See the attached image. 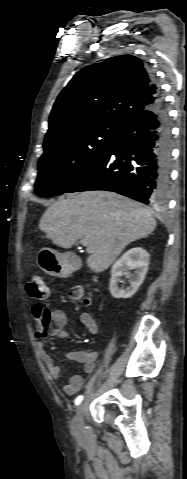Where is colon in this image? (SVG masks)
<instances>
[{"instance_id":"obj_1","label":"colon","mask_w":187,"mask_h":479,"mask_svg":"<svg viewBox=\"0 0 187 479\" xmlns=\"http://www.w3.org/2000/svg\"><path fill=\"white\" fill-rule=\"evenodd\" d=\"M28 295L33 299H45L48 295L44 278L41 274H33L26 285ZM69 298L85 305L91 303V296L81 286H74L69 291ZM33 315L36 321L37 334L47 338L53 333V318L50 310L42 305L33 306Z\"/></svg>"}]
</instances>
